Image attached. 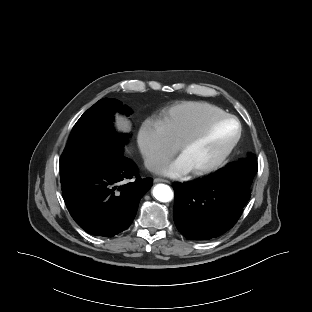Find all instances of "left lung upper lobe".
I'll list each match as a JSON object with an SVG mask.
<instances>
[{"instance_id": "obj_1", "label": "left lung upper lobe", "mask_w": 312, "mask_h": 312, "mask_svg": "<svg viewBox=\"0 0 312 312\" xmlns=\"http://www.w3.org/2000/svg\"><path fill=\"white\" fill-rule=\"evenodd\" d=\"M257 170L258 165L255 155L248 154V158L231 163L226 168L221 169L220 172L231 175L234 179L244 184L246 188L250 189Z\"/></svg>"}]
</instances>
